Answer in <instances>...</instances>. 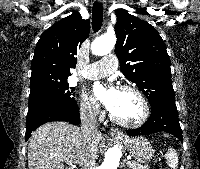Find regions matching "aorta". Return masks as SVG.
I'll return each mask as SVG.
<instances>
[{
	"instance_id": "aorta-1",
	"label": "aorta",
	"mask_w": 200,
	"mask_h": 169,
	"mask_svg": "<svg viewBox=\"0 0 200 169\" xmlns=\"http://www.w3.org/2000/svg\"><path fill=\"white\" fill-rule=\"evenodd\" d=\"M116 43V37L113 33L104 34L96 38L92 45L91 50L94 55L102 56L112 51ZM121 158V151L117 146L109 148L106 153L102 164L98 169H117Z\"/></svg>"
}]
</instances>
